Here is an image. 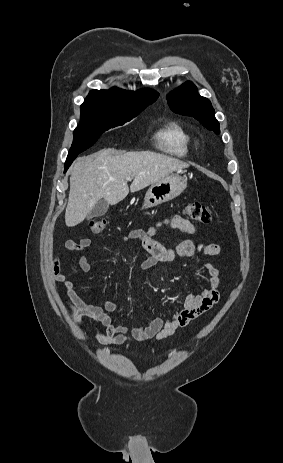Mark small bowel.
I'll use <instances>...</instances> for the list:
<instances>
[{"mask_svg": "<svg viewBox=\"0 0 283 463\" xmlns=\"http://www.w3.org/2000/svg\"><path fill=\"white\" fill-rule=\"evenodd\" d=\"M170 227L181 232L193 235L197 228L187 219L173 215L164 218L148 229H136L123 237V241L137 240L148 257L140 262V267L148 269L158 263L170 262L175 257L193 258L196 255L214 257L220 254V247L214 243H196L191 240L181 241L173 248H168L156 240L157 231L162 227ZM92 241L90 238H82L79 241L69 240L65 244L68 253L86 251ZM80 268L84 272L91 270V264L85 255L78 260ZM63 262L59 256H53L51 270L55 280L64 286L69 302H65L71 311L73 321L80 331L82 337L85 333L81 327L82 318H90L98 323L103 330L98 333L100 342L106 346L122 345L128 342L150 341L157 342L173 335L177 330L187 326L208 312L220 299V283L223 272L211 263L204 264L209 275V287L199 294L188 295L183 306L173 315L165 320L160 316H154L148 323H141L135 326L129 333L128 327L123 324H116L110 313L117 310V305L105 300L103 306H97L85 302L77 293L74 283L67 278L63 272Z\"/></svg>", "mask_w": 283, "mask_h": 463, "instance_id": "c3829d8e", "label": "small bowel"}]
</instances>
